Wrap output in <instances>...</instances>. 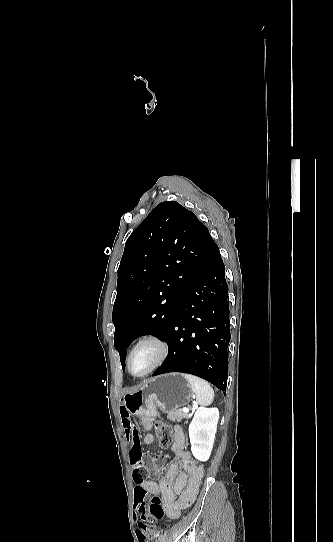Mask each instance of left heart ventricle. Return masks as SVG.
<instances>
[{
  "instance_id": "left-heart-ventricle-1",
  "label": "left heart ventricle",
  "mask_w": 333,
  "mask_h": 542,
  "mask_svg": "<svg viewBox=\"0 0 333 542\" xmlns=\"http://www.w3.org/2000/svg\"><path fill=\"white\" fill-rule=\"evenodd\" d=\"M156 351L152 345H146L140 348L131 361V371L139 374L146 371L154 362Z\"/></svg>"
}]
</instances>
